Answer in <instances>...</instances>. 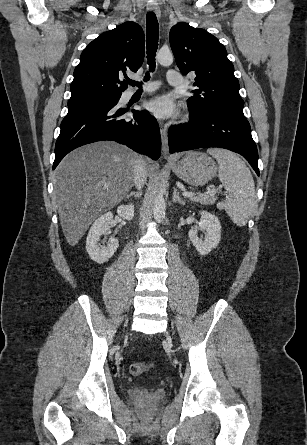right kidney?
I'll return each mask as SVG.
<instances>
[{
	"label": "right kidney",
	"mask_w": 307,
	"mask_h": 445,
	"mask_svg": "<svg viewBox=\"0 0 307 445\" xmlns=\"http://www.w3.org/2000/svg\"><path fill=\"white\" fill-rule=\"evenodd\" d=\"M119 216H123L126 220H131L134 216V204H120L117 208ZM113 218L112 212H105L99 216L95 223H93L86 241V251L95 263H106L118 249L117 239H109L106 247L99 245L98 241L101 235H105L110 229L111 220Z\"/></svg>",
	"instance_id": "right-kidney-1"
}]
</instances>
